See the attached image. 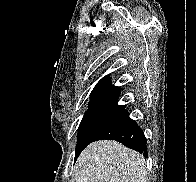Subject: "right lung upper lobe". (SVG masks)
<instances>
[{"instance_id": "1", "label": "right lung upper lobe", "mask_w": 196, "mask_h": 182, "mask_svg": "<svg viewBox=\"0 0 196 182\" xmlns=\"http://www.w3.org/2000/svg\"><path fill=\"white\" fill-rule=\"evenodd\" d=\"M119 95V87L112 85L110 83V76L107 75L97 83L91 92L89 106L98 104L117 105Z\"/></svg>"}]
</instances>
